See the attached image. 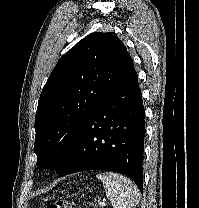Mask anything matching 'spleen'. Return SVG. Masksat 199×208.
<instances>
[{"instance_id": "3e777b00", "label": "spleen", "mask_w": 199, "mask_h": 208, "mask_svg": "<svg viewBox=\"0 0 199 208\" xmlns=\"http://www.w3.org/2000/svg\"><path fill=\"white\" fill-rule=\"evenodd\" d=\"M96 177L102 181L114 208H133L139 203V189L127 177L112 172L99 173Z\"/></svg>"}]
</instances>
